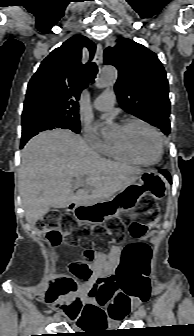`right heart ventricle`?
Returning a JSON list of instances; mask_svg holds the SVG:
<instances>
[{"mask_svg": "<svg viewBox=\"0 0 194 336\" xmlns=\"http://www.w3.org/2000/svg\"><path fill=\"white\" fill-rule=\"evenodd\" d=\"M102 154L117 162L137 164L136 161L127 156L115 143H107Z\"/></svg>", "mask_w": 194, "mask_h": 336, "instance_id": "1", "label": "right heart ventricle"}]
</instances>
